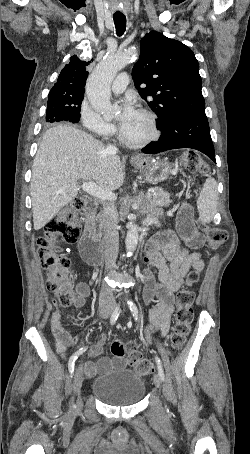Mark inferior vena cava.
<instances>
[{"label": "inferior vena cava", "instance_id": "1", "mask_svg": "<svg viewBox=\"0 0 250 454\" xmlns=\"http://www.w3.org/2000/svg\"><path fill=\"white\" fill-rule=\"evenodd\" d=\"M107 151L111 154L117 153V148L114 145L109 144ZM102 214V228L104 232V256L105 265L107 269H111L115 266V262L118 255L119 245V233L117 229V221L115 217V208L113 205L105 203L103 205ZM113 291L108 286L103 285L99 296L100 305H111L113 304Z\"/></svg>", "mask_w": 250, "mask_h": 454}]
</instances>
